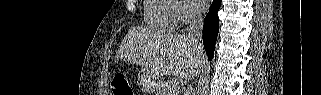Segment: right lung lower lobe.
Segmentation results:
<instances>
[{
	"mask_svg": "<svg viewBox=\"0 0 321 95\" xmlns=\"http://www.w3.org/2000/svg\"><path fill=\"white\" fill-rule=\"evenodd\" d=\"M221 0H213L203 26V44L210 60L213 58L217 34L219 31L218 10Z\"/></svg>",
	"mask_w": 321,
	"mask_h": 95,
	"instance_id": "obj_1",
	"label": "right lung lower lobe"
}]
</instances>
